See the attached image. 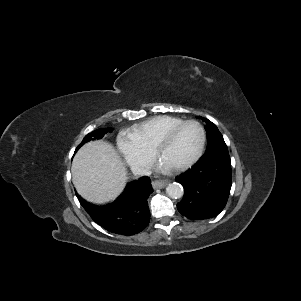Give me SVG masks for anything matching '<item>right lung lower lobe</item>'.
<instances>
[{
  "label": "right lung lower lobe",
  "mask_w": 301,
  "mask_h": 301,
  "mask_svg": "<svg viewBox=\"0 0 301 301\" xmlns=\"http://www.w3.org/2000/svg\"><path fill=\"white\" fill-rule=\"evenodd\" d=\"M153 192L147 176L129 183L124 192L112 203L93 205L77 196L90 217L105 230L125 236L141 232L150 221L147 203Z\"/></svg>",
  "instance_id": "right-lung-lower-lobe-1"
}]
</instances>
